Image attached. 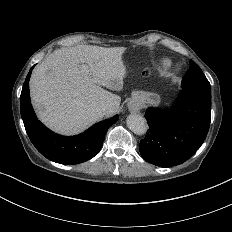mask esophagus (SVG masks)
Wrapping results in <instances>:
<instances>
[{
  "mask_svg": "<svg viewBox=\"0 0 232 232\" xmlns=\"http://www.w3.org/2000/svg\"><path fill=\"white\" fill-rule=\"evenodd\" d=\"M127 107L130 112L138 113L141 110L139 99L137 97H133L127 104Z\"/></svg>",
  "mask_w": 232,
  "mask_h": 232,
  "instance_id": "esophagus-1",
  "label": "esophagus"
}]
</instances>
